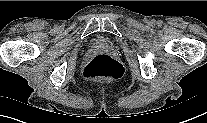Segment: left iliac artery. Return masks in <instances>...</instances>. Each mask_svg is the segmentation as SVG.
<instances>
[{
  "instance_id": "left-iliac-artery-1",
  "label": "left iliac artery",
  "mask_w": 207,
  "mask_h": 123,
  "mask_svg": "<svg viewBox=\"0 0 207 123\" xmlns=\"http://www.w3.org/2000/svg\"><path fill=\"white\" fill-rule=\"evenodd\" d=\"M158 24H159V25H162V22H161V21H159V22H158Z\"/></svg>"
}]
</instances>
